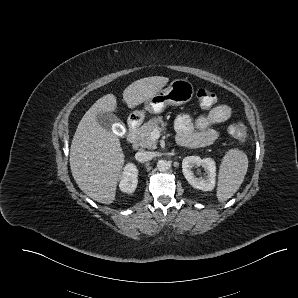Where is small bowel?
I'll return each mask as SVG.
<instances>
[{
	"label": "small bowel",
	"instance_id": "small-bowel-1",
	"mask_svg": "<svg viewBox=\"0 0 298 298\" xmlns=\"http://www.w3.org/2000/svg\"><path fill=\"white\" fill-rule=\"evenodd\" d=\"M231 114L232 110L228 105L220 104L195 121L189 115L181 114L176 118L175 126L179 134L194 136L199 140V146H206L219 138L213 127L227 121Z\"/></svg>",
	"mask_w": 298,
	"mask_h": 298
}]
</instances>
